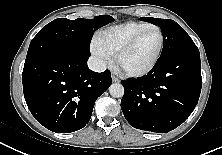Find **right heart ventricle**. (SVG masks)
Returning a JSON list of instances; mask_svg holds the SVG:
<instances>
[{
	"mask_svg": "<svg viewBox=\"0 0 222 155\" xmlns=\"http://www.w3.org/2000/svg\"><path fill=\"white\" fill-rule=\"evenodd\" d=\"M150 26H153V24L141 21H128L100 31L97 40L112 55L133 36Z\"/></svg>",
	"mask_w": 222,
	"mask_h": 155,
	"instance_id": "right-heart-ventricle-1",
	"label": "right heart ventricle"
}]
</instances>
